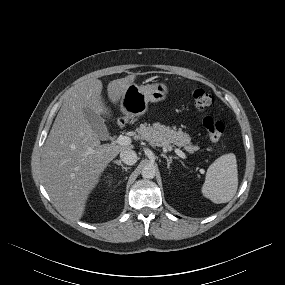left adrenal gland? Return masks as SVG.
Returning <instances> with one entry per match:
<instances>
[{
    "label": "left adrenal gland",
    "mask_w": 285,
    "mask_h": 285,
    "mask_svg": "<svg viewBox=\"0 0 285 285\" xmlns=\"http://www.w3.org/2000/svg\"><path fill=\"white\" fill-rule=\"evenodd\" d=\"M162 157L166 159L167 161V168H170V164L172 163L173 159H176L174 156L167 157L165 154H162Z\"/></svg>",
    "instance_id": "1"
}]
</instances>
